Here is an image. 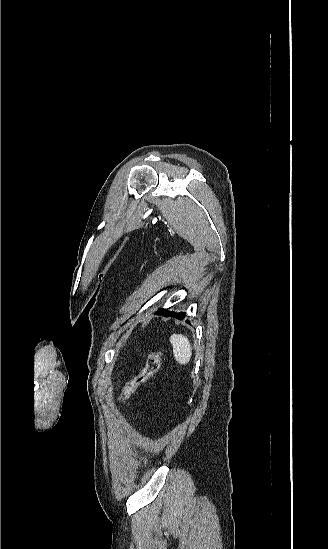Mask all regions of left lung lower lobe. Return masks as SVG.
<instances>
[{
    "instance_id": "0a47b994",
    "label": "left lung lower lobe",
    "mask_w": 328,
    "mask_h": 549,
    "mask_svg": "<svg viewBox=\"0 0 328 549\" xmlns=\"http://www.w3.org/2000/svg\"><path fill=\"white\" fill-rule=\"evenodd\" d=\"M156 314L158 315H164L166 317L168 316H171V317H175L177 319H182L185 317V314H183V312H180V313H175V312H170L168 309H159Z\"/></svg>"
}]
</instances>
